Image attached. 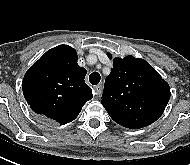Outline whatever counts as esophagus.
<instances>
[{"mask_svg": "<svg viewBox=\"0 0 190 165\" xmlns=\"http://www.w3.org/2000/svg\"><path fill=\"white\" fill-rule=\"evenodd\" d=\"M94 93L96 96H100L102 93V85L98 84L94 87Z\"/></svg>", "mask_w": 190, "mask_h": 165, "instance_id": "obj_1", "label": "esophagus"}]
</instances>
